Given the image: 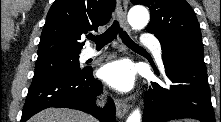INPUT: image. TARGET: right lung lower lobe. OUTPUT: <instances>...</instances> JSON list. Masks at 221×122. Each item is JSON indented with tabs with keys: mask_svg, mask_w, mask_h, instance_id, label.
Masks as SVG:
<instances>
[{
	"mask_svg": "<svg viewBox=\"0 0 221 122\" xmlns=\"http://www.w3.org/2000/svg\"><path fill=\"white\" fill-rule=\"evenodd\" d=\"M102 92V84L94 79L92 68L79 74L60 75L33 80L22 112L21 122L48 107L82 110L100 122H115V105L111 98L104 108H98L95 98Z\"/></svg>",
	"mask_w": 221,
	"mask_h": 122,
	"instance_id": "obj_1",
	"label": "right lung lower lobe"
}]
</instances>
